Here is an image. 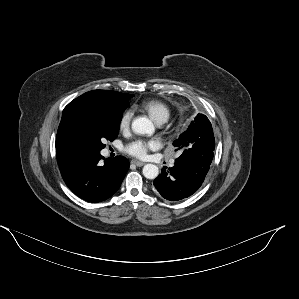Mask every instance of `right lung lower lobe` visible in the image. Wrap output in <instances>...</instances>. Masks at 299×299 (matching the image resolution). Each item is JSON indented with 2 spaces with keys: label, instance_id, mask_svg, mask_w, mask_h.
<instances>
[{
  "label": "right lung lower lobe",
  "instance_id": "1",
  "mask_svg": "<svg viewBox=\"0 0 299 299\" xmlns=\"http://www.w3.org/2000/svg\"><path fill=\"white\" fill-rule=\"evenodd\" d=\"M100 152L82 154L60 166L63 180L78 197L100 202L112 196L120 187L129 161L122 156L104 159Z\"/></svg>",
  "mask_w": 299,
  "mask_h": 299
}]
</instances>
